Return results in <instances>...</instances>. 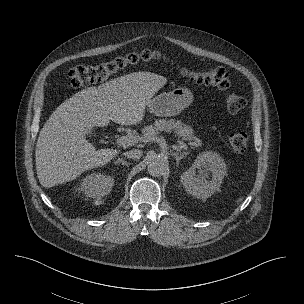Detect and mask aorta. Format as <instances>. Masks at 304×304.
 <instances>
[{"mask_svg": "<svg viewBox=\"0 0 304 304\" xmlns=\"http://www.w3.org/2000/svg\"><path fill=\"white\" fill-rule=\"evenodd\" d=\"M148 172L152 176H162L168 169L167 160L163 157H154L148 162Z\"/></svg>", "mask_w": 304, "mask_h": 304, "instance_id": "1", "label": "aorta"}]
</instances>
